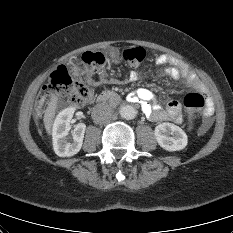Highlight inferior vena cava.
I'll return each mask as SVG.
<instances>
[{"label":"inferior vena cava","mask_w":233,"mask_h":233,"mask_svg":"<svg viewBox=\"0 0 233 233\" xmlns=\"http://www.w3.org/2000/svg\"><path fill=\"white\" fill-rule=\"evenodd\" d=\"M114 118L113 109L107 103L97 104L92 111V119L97 124H108Z\"/></svg>","instance_id":"602c4592"}]
</instances>
